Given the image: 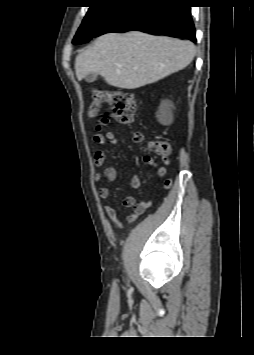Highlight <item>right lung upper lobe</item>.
<instances>
[{"label": "right lung upper lobe", "instance_id": "1", "mask_svg": "<svg viewBox=\"0 0 254 355\" xmlns=\"http://www.w3.org/2000/svg\"><path fill=\"white\" fill-rule=\"evenodd\" d=\"M94 3H98V2H105V1H114V2H118V3H126V2H130L133 0H92Z\"/></svg>", "mask_w": 254, "mask_h": 355}]
</instances>
